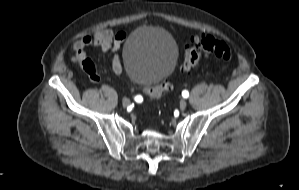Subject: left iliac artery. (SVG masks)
<instances>
[{"label": "left iliac artery", "instance_id": "obj_1", "mask_svg": "<svg viewBox=\"0 0 299 190\" xmlns=\"http://www.w3.org/2000/svg\"><path fill=\"white\" fill-rule=\"evenodd\" d=\"M182 96H183L184 98H188V97H189V92H188L187 90H184V91L182 92Z\"/></svg>", "mask_w": 299, "mask_h": 190}]
</instances>
